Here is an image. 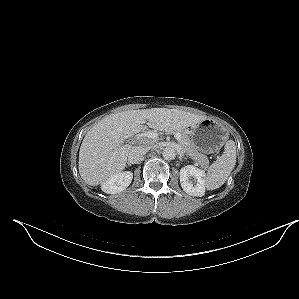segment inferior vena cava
I'll return each mask as SVG.
<instances>
[{
  "mask_svg": "<svg viewBox=\"0 0 299 299\" xmlns=\"http://www.w3.org/2000/svg\"><path fill=\"white\" fill-rule=\"evenodd\" d=\"M149 146L132 147L128 154V161L131 164H138L142 161L143 156L150 150Z\"/></svg>",
  "mask_w": 299,
  "mask_h": 299,
  "instance_id": "inferior-vena-cava-1",
  "label": "inferior vena cava"
}]
</instances>
